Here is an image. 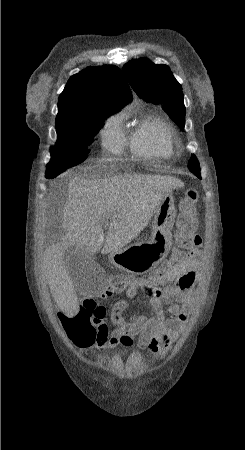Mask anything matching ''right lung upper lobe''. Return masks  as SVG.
<instances>
[{
	"instance_id": "obj_1",
	"label": "right lung upper lobe",
	"mask_w": 245,
	"mask_h": 450,
	"mask_svg": "<svg viewBox=\"0 0 245 450\" xmlns=\"http://www.w3.org/2000/svg\"><path fill=\"white\" fill-rule=\"evenodd\" d=\"M131 101V90L118 67H88L68 80L59 95L57 118L82 112L93 104L108 103L124 107Z\"/></svg>"
}]
</instances>
